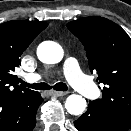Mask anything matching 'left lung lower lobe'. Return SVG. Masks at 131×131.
Returning <instances> with one entry per match:
<instances>
[{"label": "left lung lower lobe", "mask_w": 131, "mask_h": 131, "mask_svg": "<svg viewBox=\"0 0 131 131\" xmlns=\"http://www.w3.org/2000/svg\"><path fill=\"white\" fill-rule=\"evenodd\" d=\"M75 127L79 131H127L117 126L108 116L88 106V110L82 114L76 121Z\"/></svg>", "instance_id": "obj_1"}]
</instances>
